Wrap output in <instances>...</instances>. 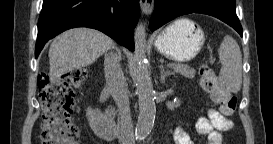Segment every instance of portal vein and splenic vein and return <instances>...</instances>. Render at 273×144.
<instances>
[{
    "label": "portal vein and splenic vein",
    "mask_w": 273,
    "mask_h": 144,
    "mask_svg": "<svg viewBox=\"0 0 273 144\" xmlns=\"http://www.w3.org/2000/svg\"><path fill=\"white\" fill-rule=\"evenodd\" d=\"M167 66H168L169 68H178V67H179V65L173 64V63H170V64H168Z\"/></svg>",
    "instance_id": "portal-vein-and-splenic-vein-1"
}]
</instances>
